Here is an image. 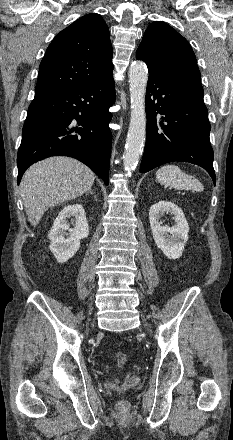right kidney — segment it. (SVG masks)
Returning a JSON list of instances; mask_svg holds the SVG:
<instances>
[{
  "instance_id": "1",
  "label": "right kidney",
  "mask_w": 233,
  "mask_h": 440,
  "mask_svg": "<svg viewBox=\"0 0 233 440\" xmlns=\"http://www.w3.org/2000/svg\"><path fill=\"white\" fill-rule=\"evenodd\" d=\"M74 228L70 227L68 219ZM89 235L85 210L81 204L68 205L61 210L48 234L50 250L59 263L72 258L80 248V240Z\"/></svg>"
}]
</instances>
